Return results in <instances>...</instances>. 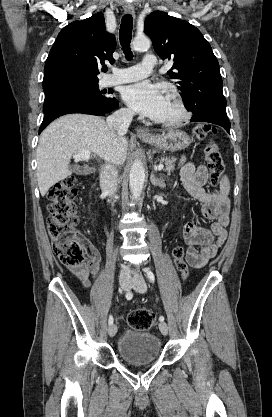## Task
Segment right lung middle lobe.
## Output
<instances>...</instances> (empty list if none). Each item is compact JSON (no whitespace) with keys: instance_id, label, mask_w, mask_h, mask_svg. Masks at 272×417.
<instances>
[{"instance_id":"right-lung-middle-lobe-1","label":"right lung middle lobe","mask_w":272,"mask_h":417,"mask_svg":"<svg viewBox=\"0 0 272 417\" xmlns=\"http://www.w3.org/2000/svg\"><path fill=\"white\" fill-rule=\"evenodd\" d=\"M45 100L43 112L45 113L55 105L71 101V100H83L91 102H105L110 97L108 94L112 93L109 91H100L98 83L93 84H82V85H66L49 90H44Z\"/></svg>"}]
</instances>
